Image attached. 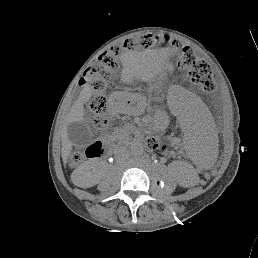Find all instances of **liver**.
I'll use <instances>...</instances> for the list:
<instances>
[{"label": "liver", "mask_w": 258, "mask_h": 258, "mask_svg": "<svg viewBox=\"0 0 258 258\" xmlns=\"http://www.w3.org/2000/svg\"><path fill=\"white\" fill-rule=\"evenodd\" d=\"M123 73L122 77L124 80L129 81L132 79L134 75H153L155 69L151 66L145 67V69H137L132 68L128 63L123 64ZM157 73V71H155ZM92 96V90L90 88H86L81 92L80 98L78 102L73 106L72 111L69 117V123L72 122H81L84 119L85 115V108L84 104L89 101ZM73 143L68 138L67 128L63 134V141H62V158L63 161L66 162L69 158L71 151H72ZM73 175V174H72ZM73 178V176H71ZM77 185V184H75ZM79 186V185H77ZM88 183H81L80 187H87Z\"/></svg>", "instance_id": "1"}]
</instances>
